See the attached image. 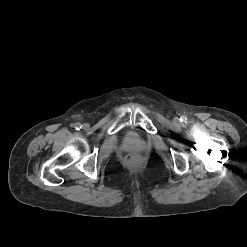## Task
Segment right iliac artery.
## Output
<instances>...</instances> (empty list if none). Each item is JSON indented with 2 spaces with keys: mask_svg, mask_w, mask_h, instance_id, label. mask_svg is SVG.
<instances>
[{
  "mask_svg": "<svg viewBox=\"0 0 247 247\" xmlns=\"http://www.w3.org/2000/svg\"><path fill=\"white\" fill-rule=\"evenodd\" d=\"M74 127L76 130H80V128L82 127V125L80 123H75Z\"/></svg>",
  "mask_w": 247,
  "mask_h": 247,
  "instance_id": "1",
  "label": "right iliac artery"
}]
</instances>
